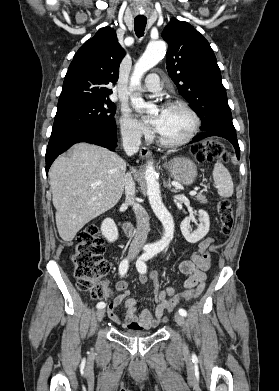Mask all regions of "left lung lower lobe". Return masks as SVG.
<instances>
[{
    "mask_svg": "<svg viewBox=\"0 0 279 391\" xmlns=\"http://www.w3.org/2000/svg\"><path fill=\"white\" fill-rule=\"evenodd\" d=\"M210 136H219V137H223V138H226L227 140H229L235 148L237 158L238 159L240 158V148H239V144L237 141L236 132H228V131L221 130V129H211V130L205 131V132L197 135L196 137H194L193 140L191 141V143L199 141V140L204 139L206 137H210Z\"/></svg>",
    "mask_w": 279,
    "mask_h": 391,
    "instance_id": "left-lung-lower-lobe-1",
    "label": "left lung lower lobe"
}]
</instances>
